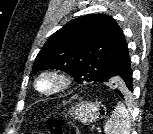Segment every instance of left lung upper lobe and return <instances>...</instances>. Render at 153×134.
I'll use <instances>...</instances> for the list:
<instances>
[{"label":"left lung upper lobe","mask_w":153,"mask_h":134,"mask_svg":"<svg viewBox=\"0 0 153 134\" xmlns=\"http://www.w3.org/2000/svg\"><path fill=\"white\" fill-rule=\"evenodd\" d=\"M129 61L124 34L116 21L108 15L88 14L50 36L35 59L33 72L60 69L79 83L106 82L126 92L117 72Z\"/></svg>","instance_id":"left-lung-upper-lobe-1"}]
</instances>
